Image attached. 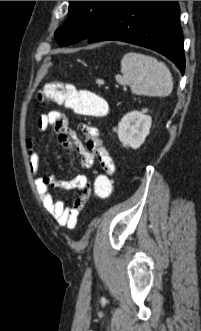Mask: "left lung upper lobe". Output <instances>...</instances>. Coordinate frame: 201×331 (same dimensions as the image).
<instances>
[{
    "label": "left lung upper lobe",
    "mask_w": 201,
    "mask_h": 331,
    "mask_svg": "<svg viewBox=\"0 0 201 331\" xmlns=\"http://www.w3.org/2000/svg\"><path fill=\"white\" fill-rule=\"evenodd\" d=\"M120 1H69L66 22L56 30L60 45L87 39L112 12Z\"/></svg>",
    "instance_id": "1"
}]
</instances>
